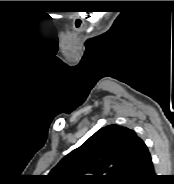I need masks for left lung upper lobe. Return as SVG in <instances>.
Here are the masks:
<instances>
[{
    "label": "left lung upper lobe",
    "instance_id": "1",
    "mask_svg": "<svg viewBox=\"0 0 174 184\" xmlns=\"http://www.w3.org/2000/svg\"><path fill=\"white\" fill-rule=\"evenodd\" d=\"M142 140L119 125L99 129L49 173L56 184H123Z\"/></svg>",
    "mask_w": 174,
    "mask_h": 184
}]
</instances>
